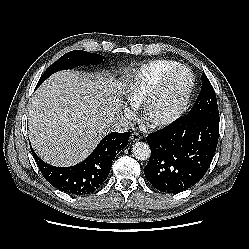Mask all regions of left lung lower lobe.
Listing matches in <instances>:
<instances>
[{"instance_id": "1", "label": "left lung lower lobe", "mask_w": 249, "mask_h": 249, "mask_svg": "<svg viewBox=\"0 0 249 249\" xmlns=\"http://www.w3.org/2000/svg\"><path fill=\"white\" fill-rule=\"evenodd\" d=\"M219 136V119L183 116L151 133L147 143L151 156L144 168L146 179L157 190L182 192L207 172Z\"/></svg>"}]
</instances>
